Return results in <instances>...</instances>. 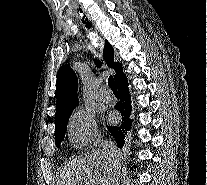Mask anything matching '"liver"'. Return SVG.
<instances>
[{
    "mask_svg": "<svg viewBox=\"0 0 207 185\" xmlns=\"http://www.w3.org/2000/svg\"><path fill=\"white\" fill-rule=\"evenodd\" d=\"M117 147H114V151L111 153V149H107V151H99V153H91V155H85L84 159L78 161V163H70L66 175H68V185H79V181H83V183H87V177L84 175L88 173L87 165L91 163H97V165H101L102 169H105L103 175H101V179H99L96 185H103V183H107V185H112L114 183V169L113 165L115 161L118 159V153L116 151ZM87 163V165H86ZM75 167V169H74ZM120 167V163H119ZM73 171H77L76 175H73ZM76 177V179H75Z\"/></svg>",
    "mask_w": 207,
    "mask_h": 185,
    "instance_id": "liver-1",
    "label": "liver"
}]
</instances>
